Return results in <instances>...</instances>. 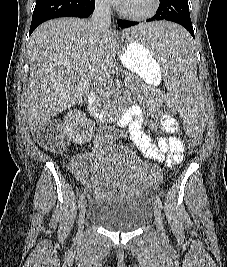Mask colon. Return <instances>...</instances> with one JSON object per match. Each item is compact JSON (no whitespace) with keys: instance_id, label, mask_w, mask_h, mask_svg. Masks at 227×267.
Returning <instances> with one entry per match:
<instances>
[{"instance_id":"colon-1","label":"colon","mask_w":227,"mask_h":267,"mask_svg":"<svg viewBox=\"0 0 227 267\" xmlns=\"http://www.w3.org/2000/svg\"><path fill=\"white\" fill-rule=\"evenodd\" d=\"M164 108L167 116L178 115L175 104H165ZM38 140L52 151H60L66 144L65 135L59 126H49L41 129L38 132ZM197 147H199L198 140L189 139V142H184V149H186L184 161H187V158H194L200 153Z\"/></svg>"}]
</instances>
